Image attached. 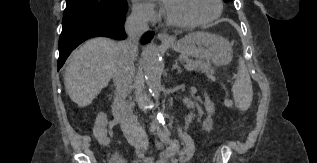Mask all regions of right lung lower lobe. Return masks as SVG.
Listing matches in <instances>:
<instances>
[{
	"label": "right lung lower lobe",
	"instance_id": "98d812e1",
	"mask_svg": "<svg viewBox=\"0 0 317 163\" xmlns=\"http://www.w3.org/2000/svg\"><path fill=\"white\" fill-rule=\"evenodd\" d=\"M126 13H101L76 23L63 26L59 39L58 70L63 66L70 53L83 41L91 37L104 36L114 39H124L123 24ZM153 37L147 32L142 38L146 43Z\"/></svg>",
	"mask_w": 317,
	"mask_h": 163
}]
</instances>
